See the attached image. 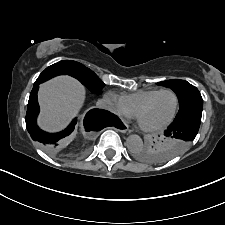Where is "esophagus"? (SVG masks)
Masks as SVG:
<instances>
[{"label":"esophagus","instance_id":"esophagus-1","mask_svg":"<svg viewBox=\"0 0 225 225\" xmlns=\"http://www.w3.org/2000/svg\"><path fill=\"white\" fill-rule=\"evenodd\" d=\"M116 130L122 132V133H126L128 131V125L126 122H121L117 127Z\"/></svg>","mask_w":225,"mask_h":225}]
</instances>
